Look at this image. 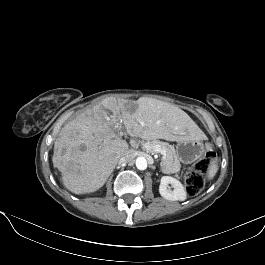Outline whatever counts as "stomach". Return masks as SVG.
Here are the masks:
<instances>
[{
  "instance_id": "stomach-1",
  "label": "stomach",
  "mask_w": 265,
  "mask_h": 265,
  "mask_svg": "<svg viewBox=\"0 0 265 265\" xmlns=\"http://www.w3.org/2000/svg\"><path fill=\"white\" fill-rule=\"evenodd\" d=\"M204 152L203 144L200 140L184 139L178 141L176 154L178 159L184 164H191L198 160Z\"/></svg>"
}]
</instances>
